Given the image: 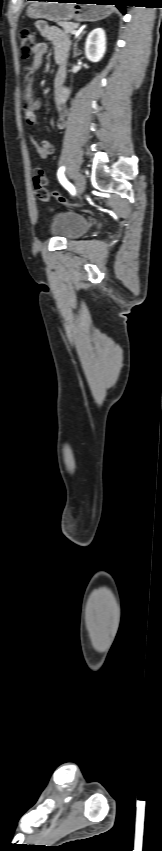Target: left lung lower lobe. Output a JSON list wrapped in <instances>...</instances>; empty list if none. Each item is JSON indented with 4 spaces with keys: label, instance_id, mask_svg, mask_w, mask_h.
Segmentation results:
<instances>
[{
    "label": "left lung lower lobe",
    "instance_id": "obj_1",
    "mask_svg": "<svg viewBox=\"0 0 162 851\" xmlns=\"http://www.w3.org/2000/svg\"><path fill=\"white\" fill-rule=\"evenodd\" d=\"M59 2H64L66 0H58ZM86 2L97 3V4H111L118 7V9L125 13L124 6H127V0H84Z\"/></svg>",
    "mask_w": 162,
    "mask_h": 851
}]
</instances>
